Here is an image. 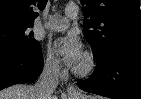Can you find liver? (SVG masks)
Segmentation results:
<instances>
[{"label":"liver","instance_id":"1","mask_svg":"<svg viewBox=\"0 0 141 99\" xmlns=\"http://www.w3.org/2000/svg\"><path fill=\"white\" fill-rule=\"evenodd\" d=\"M50 99H57L56 94ZM0 99H41V95L36 91L35 86L26 84H16L0 91Z\"/></svg>","mask_w":141,"mask_h":99}]
</instances>
